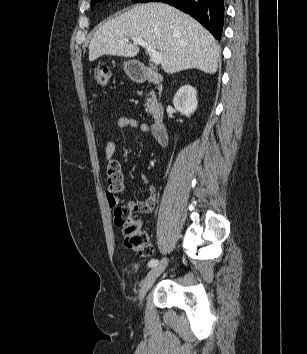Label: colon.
Instances as JSON below:
<instances>
[{"label": "colon", "mask_w": 307, "mask_h": 354, "mask_svg": "<svg viewBox=\"0 0 307 354\" xmlns=\"http://www.w3.org/2000/svg\"><path fill=\"white\" fill-rule=\"evenodd\" d=\"M110 71L107 67L94 69V79L99 87H105L109 81ZM115 225L121 228L125 237V246L142 257L153 254V246L148 235L142 230L140 220L133 217V210L128 205H118L114 209Z\"/></svg>", "instance_id": "1"}]
</instances>
